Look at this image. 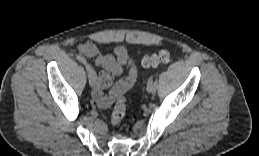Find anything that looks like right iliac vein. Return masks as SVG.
I'll use <instances>...</instances> for the list:
<instances>
[{"label":"right iliac vein","instance_id":"1","mask_svg":"<svg viewBox=\"0 0 259 156\" xmlns=\"http://www.w3.org/2000/svg\"><path fill=\"white\" fill-rule=\"evenodd\" d=\"M86 70H87L89 84L90 86L94 87L97 81L96 73L90 65L86 67Z\"/></svg>","mask_w":259,"mask_h":156}]
</instances>
